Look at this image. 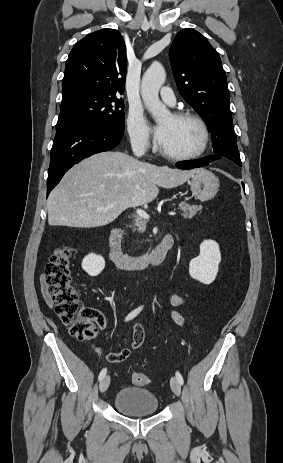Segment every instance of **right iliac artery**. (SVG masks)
I'll return each instance as SVG.
<instances>
[{
  "label": "right iliac artery",
  "instance_id": "obj_1",
  "mask_svg": "<svg viewBox=\"0 0 283 463\" xmlns=\"http://www.w3.org/2000/svg\"><path fill=\"white\" fill-rule=\"evenodd\" d=\"M142 309H143V306H140V307L136 308L135 310H133L132 312H130V313L127 315V317L125 318V321H129V320L133 319L134 317H136V316L140 313V311H141ZM106 373H107V369L104 368V369L100 372L98 379H99V380H102V379L105 377Z\"/></svg>",
  "mask_w": 283,
  "mask_h": 463
}]
</instances>
